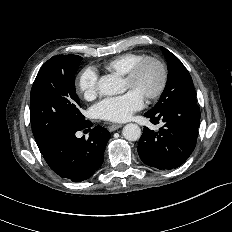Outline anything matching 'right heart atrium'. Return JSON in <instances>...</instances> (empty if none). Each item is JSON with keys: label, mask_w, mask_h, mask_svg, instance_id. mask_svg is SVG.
<instances>
[{"label": "right heart atrium", "mask_w": 232, "mask_h": 232, "mask_svg": "<svg viewBox=\"0 0 232 232\" xmlns=\"http://www.w3.org/2000/svg\"><path fill=\"white\" fill-rule=\"evenodd\" d=\"M78 92L85 99H92L98 91V73L95 68L87 67L81 71L77 78Z\"/></svg>", "instance_id": "obj_1"}]
</instances>
